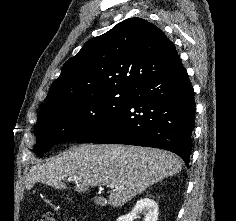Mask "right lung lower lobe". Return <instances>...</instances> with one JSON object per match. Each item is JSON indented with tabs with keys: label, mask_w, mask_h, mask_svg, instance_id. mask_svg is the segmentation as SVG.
Returning <instances> with one entry per match:
<instances>
[{
	"label": "right lung lower lobe",
	"mask_w": 236,
	"mask_h": 221,
	"mask_svg": "<svg viewBox=\"0 0 236 221\" xmlns=\"http://www.w3.org/2000/svg\"><path fill=\"white\" fill-rule=\"evenodd\" d=\"M196 105L193 87L176 58L132 89L127 103L79 143H115L169 150L189 164Z\"/></svg>",
	"instance_id": "right-lung-lower-lobe-1"
}]
</instances>
